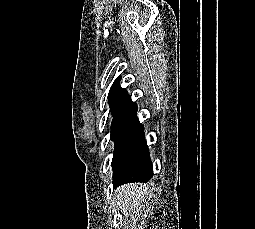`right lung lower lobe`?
<instances>
[{
    "label": "right lung lower lobe",
    "mask_w": 255,
    "mask_h": 229,
    "mask_svg": "<svg viewBox=\"0 0 255 229\" xmlns=\"http://www.w3.org/2000/svg\"><path fill=\"white\" fill-rule=\"evenodd\" d=\"M136 111L137 109L129 112L126 116L143 130L142 125L139 123L138 118L136 117ZM152 176L153 169L151 162L147 167L133 165L127 173H118L113 175V184L116 187L131 182H148Z\"/></svg>",
    "instance_id": "98d812e1"
}]
</instances>
